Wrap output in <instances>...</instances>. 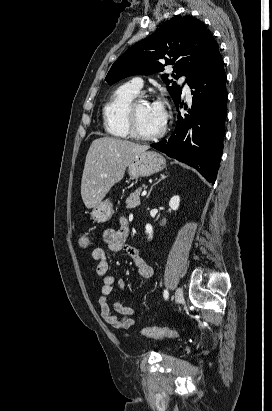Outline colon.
<instances>
[{
  "instance_id": "obj_1",
  "label": "colon",
  "mask_w": 272,
  "mask_h": 411,
  "mask_svg": "<svg viewBox=\"0 0 272 411\" xmlns=\"http://www.w3.org/2000/svg\"><path fill=\"white\" fill-rule=\"evenodd\" d=\"M79 245L81 248L86 249L90 246V239L87 236H81L79 238ZM141 334L147 338H178L179 333L168 327H144L141 329Z\"/></svg>"
}]
</instances>
